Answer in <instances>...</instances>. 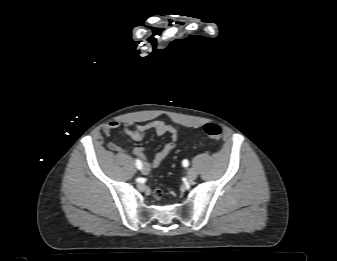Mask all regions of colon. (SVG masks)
I'll use <instances>...</instances> for the list:
<instances>
[{"label": "colon", "instance_id": "colon-1", "mask_svg": "<svg viewBox=\"0 0 337 261\" xmlns=\"http://www.w3.org/2000/svg\"><path fill=\"white\" fill-rule=\"evenodd\" d=\"M203 130L205 134L212 140H219L221 138V127L215 123L205 124ZM153 197L159 201L163 197V192L160 189H155L153 192Z\"/></svg>", "mask_w": 337, "mask_h": 261}]
</instances>
